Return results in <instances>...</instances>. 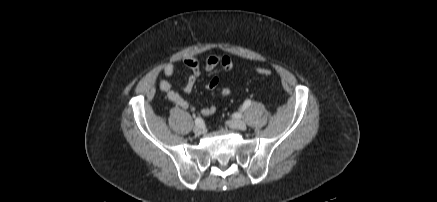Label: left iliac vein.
Wrapping results in <instances>:
<instances>
[{
    "mask_svg": "<svg viewBox=\"0 0 437 202\" xmlns=\"http://www.w3.org/2000/svg\"><path fill=\"white\" fill-rule=\"evenodd\" d=\"M228 126L232 129L245 130L246 123L241 119H235L227 122Z\"/></svg>",
    "mask_w": 437,
    "mask_h": 202,
    "instance_id": "4c4485c4",
    "label": "left iliac vein"
}]
</instances>
